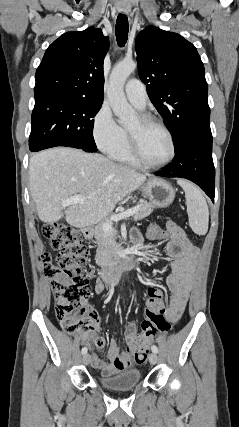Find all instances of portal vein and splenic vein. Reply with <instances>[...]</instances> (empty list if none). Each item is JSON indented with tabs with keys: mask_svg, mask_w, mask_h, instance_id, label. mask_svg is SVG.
Returning a JSON list of instances; mask_svg holds the SVG:
<instances>
[{
	"mask_svg": "<svg viewBox=\"0 0 239 427\" xmlns=\"http://www.w3.org/2000/svg\"><path fill=\"white\" fill-rule=\"evenodd\" d=\"M85 199L86 198L84 196H82V195H74V196L68 198L67 200L63 201V204L64 205H69V204L82 203V202L85 201ZM139 209H140V206L137 205V206H135L133 208H130V209L122 212V213L112 215L110 217V221H119V220H122V219H126V218H128V217L133 216L134 214H136L139 211ZM102 227H103L104 231H110L112 229V225L108 221L104 222L102 224Z\"/></svg>",
	"mask_w": 239,
	"mask_h": 427,
	"instance_id": "1",
	"label": "portal vein and splenic vein"
}]
</instances>
